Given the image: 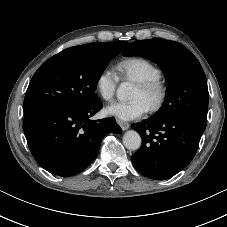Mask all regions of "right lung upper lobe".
I'll return each instance as SVG.
<instances>
[{"mask_svg":"<svg viewBox=\"0 0 227 227\" xmlns=\"http://www.w3.org/2000/svg\"><path fill=\"white\" fill-rule=\"evenodd\" d=\"M127 43H128L127 41H121L122 49L127 45ZM100 44L101 42H95V43L80 45L79 47L84 49H94V48H97Z\"/></svg>","mask_w":227,"mask_h":227,"instance_id":"right-lung-upper-lobe-1","label":"right lung upper lobe"}]
</instances>
